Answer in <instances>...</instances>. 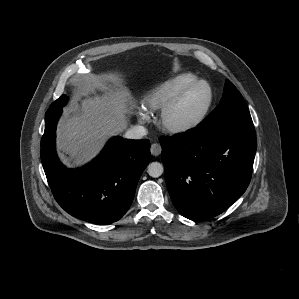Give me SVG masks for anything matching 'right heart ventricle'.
<instances>
[{
    "label": "right heart ventricle",
    "instance_id": "1",
    "mask_svg": "<svg viewBox=\"0 0 299 299\" xmlns=\"http://www.w3.org/2000/svg\"><path fill=\"white\" fill-rule=\"evenodd\" d=\"M198 80L193 73H181L152 88L143 97V107L146 112H159L182 88Z\"/></svg>",
    "mask_w": 299,
    "mask_h": 299
}]
</instances>
